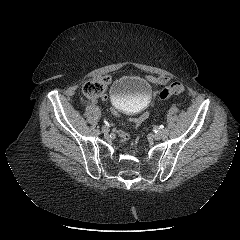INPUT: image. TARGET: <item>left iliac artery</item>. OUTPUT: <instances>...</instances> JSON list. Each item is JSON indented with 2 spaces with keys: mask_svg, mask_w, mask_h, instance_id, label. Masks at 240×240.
I'll use <instances>...</instances> for the list:
<instances>
[{
  "mask_svg": "<svg viewBox=\"0 0 240 240\" xmlns=\"http://www.w3.org/2000/svg\"><path fill=\"white\" fill-rule=\"evenodd\" d=\"M167 131H168L167 126H165V125L162 126V128H161V134H162V135H165Z\"/></svg>",
  "mask_w": 240,
  "mask_h": 240,
  "instance_id": "left-iliac-artery-1",
  "label": "left iliac artery"
}]
</instances>
